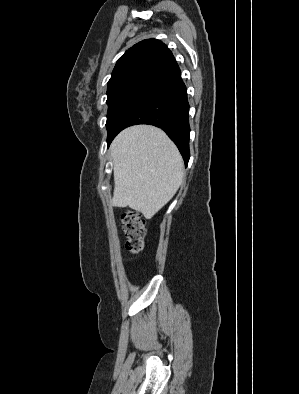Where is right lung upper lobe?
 <instances>
[{
    "label": "right lung upper lobe",
    "mask_w": 299,
    "mask_h": 394,
    "mask_svg": "<svg viewBox=\"0 0 299 394\" xmlns=\"http://www.w3.org/2000/svg\"><path fill=\"white\" fill-rule=\"evenodd\" d=\"M178 68L172 52L164 43L146 39L132 46L118 59L107 91L124 85L150 87Z\"/></svg>",
    "instance_id": "1"
}]
</instances>
